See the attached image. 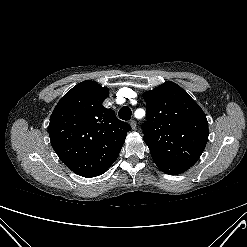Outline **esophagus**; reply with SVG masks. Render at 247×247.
Returning <instances> with one entry per match:
<instances>
[{
	"mask_svg": "<svg viewBox=\"0 0 247 247\" xmlns=\"http://www.w3.org/2000/svg\"><path fill=\"white\" fill-rule=\"evenodd\" d=\"M130 126H131V128H132L133 130L136 129V127H137L136 121H135V120H131V121H130Z\"/></svg>",
	"mask_w": 247,
	"mask_h": 247,
	"instance_id": "34e87169",
	"label": "esophagus"
}]
</instances>
